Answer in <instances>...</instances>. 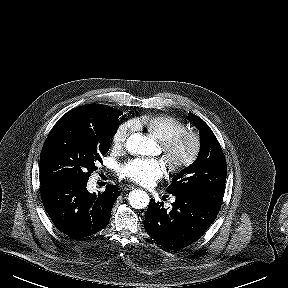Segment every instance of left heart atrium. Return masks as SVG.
Instances as JSON below:
<instances>
[{"label":"left heart atrium","instance_id":"obj_1","mask_svg":"<svg viewBox=\"0 0 288 288\" xmlns=\"http://www.w3.org/2000/svg\"><path fill=\"white\" fill-rule=\"evenodd\" d=\"M164 171V165L158 159H135L120 167L123 177L144 186L153 185Z\"/></svg>","mask_w":288,"mask_h":288}]
</instances>
